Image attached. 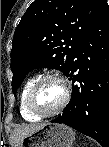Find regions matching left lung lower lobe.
I'll use <instances>...</instances> for the list:
<instances>
[{
  "mask_svg": "<svg viewBox=\"0 0 109 147\" xmlns=\"http://www.w3.org/2000/svg\"><path fill=\"white\" fill-rule=\"evenodd\" d=\"M68 77L72 81L71 101L62 116L51 122L63 123L109 145V5L103 8L82 37ZM96 76L98 83L90 81Z\"/></svg>",
  "mask_w": 109,
  "mask_h": 147,
  "instance_id": "left-lung-lower-lobe-1",
  "label": "left lung lower lobe"
}]
</instances>
